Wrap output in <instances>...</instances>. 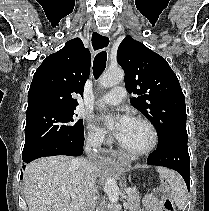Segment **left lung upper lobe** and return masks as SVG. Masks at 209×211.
<instances>
[{
    "mask_svg": "<svg viewBox=\"0 0 209 211\" xmlns=\"http://www.w3.org/2000/svg\"><path fill=\"white\" fill-rule=\"evenodd\" d=\"M117 62L125 71L131 104L154 124L158 146L186 131V107L178 78L167 61L127 36L118 47Z\"/></svg>",
    "mask_w": 209,
    "mask_h": 211,
    "instance_id": "obj_1",
    "label": "left lung upper lobe"
}]
</instances>
